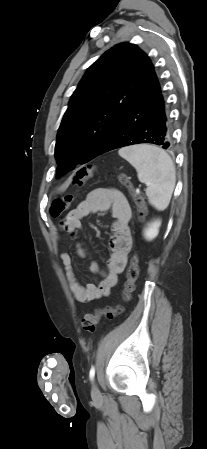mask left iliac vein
Returning <instances> with one entry per match:
<instances>
[{
	"mask_svg": "<svg viewBox=\"0 0 207 449\" xmlns=\"http://www.w3.org/2000/svg\"><path fill=\"white\" fill-rule=\"evenodd\" d=\"M91 396L93 399H99L101 396L99 388L95 383H93V385H92Z\"/></svg>",
	"mask_w": 207,
	"mask_h": 449,
	"instance_id": "4c4485c4",
	"label": "left iliac vein"
}]
</instances>
